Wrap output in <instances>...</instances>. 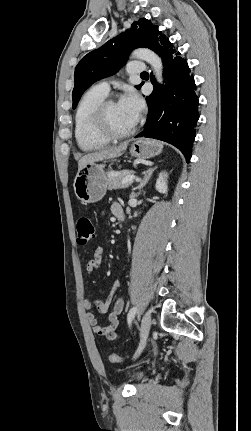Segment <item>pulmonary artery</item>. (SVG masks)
<instances>
[{
	"instance_id": "e3ab8cb5",
	"label": "pulmonary artery",
	"mask_w": 251,
	"mask_h": 431,
	"mask_svg": "<svg viewBox=\"0 0 251 431\" xmlns=\"http://www.w3.org/2000/svg\"><path fill=\"white\" fill-rule=\"evenodd\" d=\"M146 70V65L143 62L140 61H135V62H131L128 65V73L129 74H140L142 72H144ZM94 87H96L97 89L108 93L109 92V84L107 81H101L98 84H96Z\"/></svg>"
}]
</instances>
